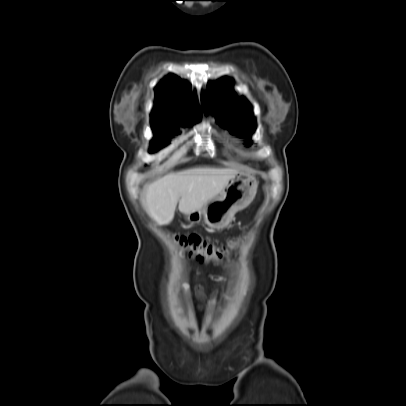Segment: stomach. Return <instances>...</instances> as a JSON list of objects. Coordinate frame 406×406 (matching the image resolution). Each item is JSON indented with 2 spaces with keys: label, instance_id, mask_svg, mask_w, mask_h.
<instances>
[{
  "label": "stomach",
  "instance_id": "obj_1",
  "mask_svg": "<svg viewBox=\"0 0 406 406\" xmlns=\"http://www.w3.org/2000/svg\"><path fill=\"white\" fill-rule=\"evenodd\" d=\"M258 182L253 175L238 172L231 178L219 196L209 200L200 210L186 215L192 224L203 220L210 228L222 229L229 225L236 212L254 199Z\"/></svg>",
  "mask_w": 406,
  "mask_h": 406
}]
</instances>
